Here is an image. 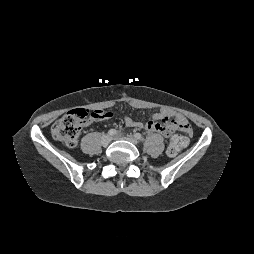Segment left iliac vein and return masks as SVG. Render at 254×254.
I'll use <instances>...</instances> for the list:
<instances>
[{"instance_id":"left-iliac-vein-1","label":"left iliac vein","mask_w":254,"mask_h":254,"mask_svg":"<svg viewBox=\"0 0 254 254\" xmlns=\"http://www.w3.org/2000/svg\"><path fill=\"white\" fill-rule=\"evenodd\" d=\"M116 137L117 138H124V139L128 140L129 142H131L133 144H137L138 143L136 138L134 136H132V135H127L125 137H121L120 135H117Z\"/></svg>"}]
</instances>
